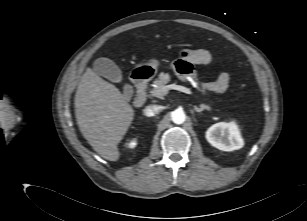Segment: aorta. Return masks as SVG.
Masks as SVG:
<instances>
[{
	"label": "aorta",
	"instance_id": "762f6f07",
	"mask_svg": "<svg viewBox=\"0 0 307 221\" xmlns=\"http://www.w3.org/2000/svg\"><path fill=\"white\" fill-rule=\"evenodd\" d=\"M171 120L175 124H182L186 120V115L182 109H176L171 112Z\"/></svg>",
	"mask_w": 307,
	"mask_h": 221
}]
</instances>
